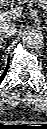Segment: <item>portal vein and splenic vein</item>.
<instances>
[{"label":"portal vein and splenic vein","mask_w":47,"mask_h":129,"mask_svg":"<svg viewBox=\"0 0 47 129\" xmlns=\"http://www.w3.org/2000/svg\"><path fill=\"white\" fill-rule=\"evenodd\" d=\"M21 14H22L21 9L13 8V9L10 10V12H5V11L1 12L0 18L2 20H5L7 18L8 19H12V18L14 19V18L19 17Z\"/></svg>","instance_id":"portal-vein-and-splenic-vein-1"}]
</instances>
